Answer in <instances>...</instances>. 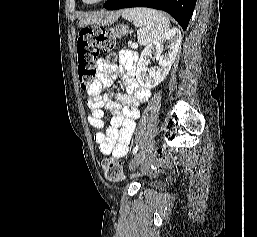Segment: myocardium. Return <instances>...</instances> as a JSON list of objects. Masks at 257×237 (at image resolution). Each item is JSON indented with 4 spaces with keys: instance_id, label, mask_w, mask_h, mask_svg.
Instances as JSON below:
<instances>
[{
    "instance_id": "myocardium-1",
    "label": "myocardium",
    "mask_w": 257,
    "mask_h": 237,
    "mask_svg": "<svg viewBox=\"0 0 257 237\" xmlns=\"http://www.w3.org/2000/svg\"><path fill=\"white\" fill-rule=\"evenodd\" d=\"M83 3H85L86 5H97L103 2H106L108 0H94V1H88V0H82Z\"/></svg>"
}]
</instances>
